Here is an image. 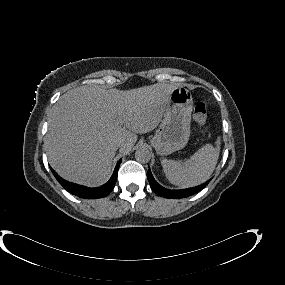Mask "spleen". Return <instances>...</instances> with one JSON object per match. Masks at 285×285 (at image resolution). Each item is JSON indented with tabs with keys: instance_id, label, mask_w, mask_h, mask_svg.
<instances>
[{
	"instance_id": "3e777b00",
	"label": "spleen",
	"mask_w": 285,
	"mask_h": 285,
	"mask_svg": "<svg viewBox=\"0 0 285 285\" xmlns=\"http://www.w3.org/2000/svg\"><path fill=\"white\" fill-rule=\"evenodd\" d=\"M217 146L206 144L185 162L164 159L161 161L167 179L179 187H194L207 181L213 173L220 154V137Z\"/></svg>"
}]
</instances>
